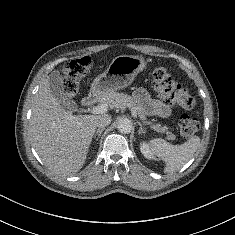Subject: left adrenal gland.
Returning a JSON list of instances; mask_svg holds the SVG:
<instances>
[{"instance_id":"1","label":"left adrenal gland","mask_w":235,"mask_h":235,"mask_svg":"<svg viewBox=\"0 0 235 235\" xmlns=\"http://www.w3.org/2000/svg\"><path fill=\"white\" fill-rule=\"evenodd\" d=\"M138 125H139V130H138V134H142V133H145V129L144 127H142V124L140 122H137Z\"/></svg>"}]
</instances>
